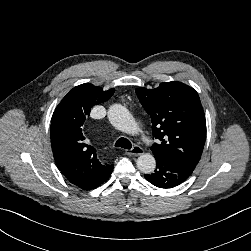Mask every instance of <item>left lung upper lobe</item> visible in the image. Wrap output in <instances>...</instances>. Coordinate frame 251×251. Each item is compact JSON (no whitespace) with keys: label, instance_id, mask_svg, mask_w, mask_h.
I'll use <instances>...</instances> for the list:
<instances>
[{"label":"left lung upper lobe","instance_id":"5c2ea615","mask_svg":"<svg viewBox=\"0 0 251 251\" xmlns=\"http://www.w3.org/2000/svg\"><path fill=\"white\" fill-rule=\"evenodd\" d=\"M150 115L153 137L161 141L152 146L154 155L179 162L194 170L206 139V120L195 89L172 81L158 88L136 89Z\"/></svg>","mask_w":251,"mask_h":251}]
</instances>
